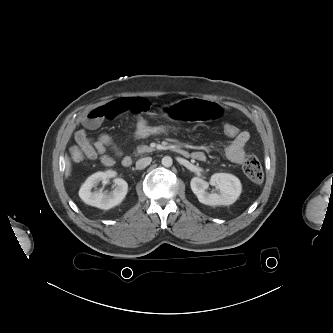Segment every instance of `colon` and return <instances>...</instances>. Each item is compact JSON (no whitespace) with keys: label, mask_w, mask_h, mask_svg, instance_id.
<instances>
[{"label":"colon","mask_w":333,"mask_h":333,"mask_svg":"<svg viewBox=\"0 0 333 333\" xmlns=\"http://www.w3.org/2000/svg\"><path fill=\"white\" fill-rule=\"evenodd\" d=\"M178 131V126L171 121H141L136 122L131 136L134 139L143 140L152 137L172 135ZM224 133L229 138H235L240 133V130L236 125L227 123L224 125ZM71 157L76 162H81L85 159L84 154L75 147L71 149ZM243 171L245 175L255 183H260L263 180L264 173L261 163L253 154L246 156L243 162Z\"/></svg>","instance_id":"5ec220e1"}]
</instances>
